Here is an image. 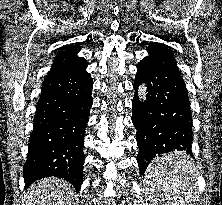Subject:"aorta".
<instances>
[{
    "label": "aorta",
    "mask_w": 222,
    "mask_h": 205,
    "mask_svg": "<svg viewBox=\"0 0 222 205\" xmlns=\"http://www.w3.org/2000/svg\"><path fill=\"white\" fill-rule=\"evenodd\" d=\"M138 92H139V95H140L141 97H143V96L145 95V88H144V87H140L139 90H138Z\"/></svg>",
    "instance_id": "1"
}]
</instances>
